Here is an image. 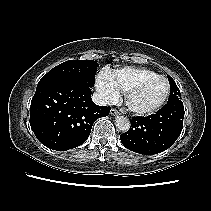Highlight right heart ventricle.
I'll list each match as a JSON object with an SVG mask.
<instances>
[{
	"mask_svg": "<svg viewBox=\"0 0 211 211\" xmlns=\"http://www.w3.org/2000/svg\"><path fill=\"white\" fill-rule=\"evenodd\" d=\"M111 77L116 84L117 88L126 93L133 86L142 80L158 75L155 71L147 68L125 67L112 71Z\"/></svg>",
	"mask_w": 211,
	"mask_h": 211,
	"instance_id": "1",
	"label": "right heart ventricle"
}]
</instances>
